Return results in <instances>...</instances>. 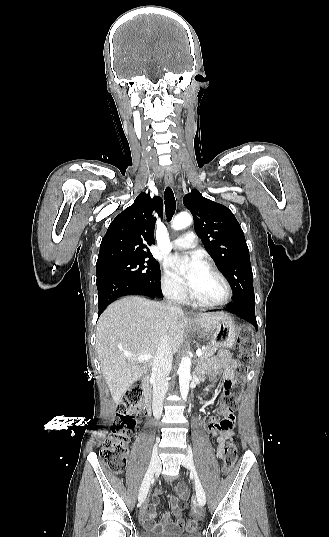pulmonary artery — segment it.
Listing matches in <instances>:
<instances>
[{
    "label": "pulmonary artery",
    "instance_id": "e3ab8cb5",
    "mask_svg": "<svg viewBox=\"0 0 329 537\" xmlns=\"http://www.w3.org/2000/svg\"><path fill=\"white\" fill-rule=\"evenodd\" d=\"M197 245L196 235L193 232H187L181 237L173 240L170 247L177 250L194 248Z\"/></svg>",
    "mask_w": 329,
    "mask_h": 537
}]
</instances>
